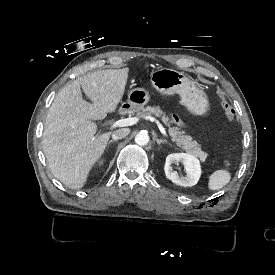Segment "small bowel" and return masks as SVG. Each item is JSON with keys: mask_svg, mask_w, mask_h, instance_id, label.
Listing matches in <instances>:
<instances>
[{"mask_svg": "<svg viewBox=\"0 0 275 275\" xmlns=\"http://www.w3.org/2000/svg\"><path fill=\"white\" fill-rule=\"evenodd\" d=\"M171 119L177 126L182 125V121L178 115H176V114L171 115Z\"/></svg>", "mask_w": 275, "mask_h": 275, "instance_id": "1", "label": "small bowel"}]
</instances>
